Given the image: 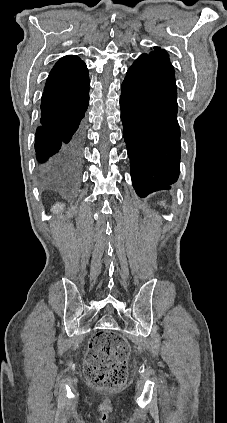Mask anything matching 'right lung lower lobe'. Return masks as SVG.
<instances>
[{"mask_svg": "<svg viewBox=\"0 0 227 423\" xmlns=\"http://www.w3.org/2000/svg\"><path fill=\"white\" fill-rule=\"evenodd\" d=\"M88 104V93L67 99L42 96L35 150L46 188L70 191L76 185L84 136L81 120Z\"/></svg>", "mask_w": 227, "mask_h": 423, "instance_id": "obj_1", "label": "right lung lower lobe"}]
</instances>
